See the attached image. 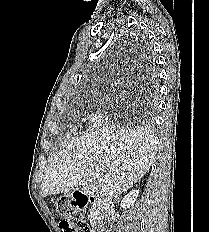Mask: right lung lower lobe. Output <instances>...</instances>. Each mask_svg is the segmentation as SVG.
<instances>
[{"mask_svg": "<svg viewBox=\"0 0 209 232\" xmlns=\"http://www.w3.org/2000/svg\"><path fill=\"white\" fill-rule=\"evenodd\" d=\"M142 57H143V59H144L146 62H149L150 64H152V63H151V62H152V58H151L149 52L143 53Z\"/></svg>", "mask_w": 209, "mask_h": 232, "instance_id": "obj_1", "label": "right lung lower lobe"}]
</instances>
